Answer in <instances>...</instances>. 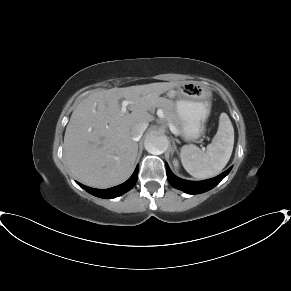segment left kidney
I'll list each match as a JSON object with an SVG mask.
<instances>
[{"label": "left kidney", "instance_id": "5707ae66", "mask_svg": "<svg viewBox=\"0 0 291 291\" xmlns=\"http://www.w3.org/2000/svg\"><path fill=\"white\" fill-rule=\"evenodd\" d=\"M173 165H174V167H175L176 169L179 168V162H178L177 159H174V160H173Z\"/></svg>", "mask_w": 291, "mask_h": 291}]
</instances>
